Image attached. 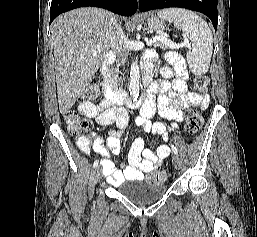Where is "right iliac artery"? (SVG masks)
I'll return each mask as SVG.
<instances>
[{
  "instance_id": "82829eb1",
  "label": "right iliac artery",
  "mask_w": 257,
  "mask_h": 237,
  "mask_svg": "<svg viewBox=\"0 0 257 237\" xmlns=\"http://www.w3.org/2000/svg\"><path fill=\"white\" fill-rule=\"evenodd\" d=\"M98 166V160H96L95 162H94V164H93V167L95 168V167H97Z\"/></svg>"
}]
</instances>
